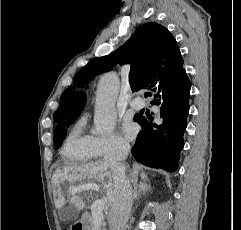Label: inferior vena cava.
I'll use <instances>...</instances> for the list:
<instances>
[{
  "label": "inferior vena cava",
  "instance_id": "obj_1",
  "mask_svg": "<svg viewBox=\"0 0 241 230\" xmlns=\"http://www.w3.org/2000/svg\"><path fill=\"white\" fill-rule=\"evenodd\" d=\"M130 150L125 143L113 153L104 157V164L111 169L114 183V199L109 210L110 230H126L133 204L132 187L125 175V167L121 162Z\"/></svg>",
  "mask_w": 241,
  "mask_h": 230
}]
</instances>
